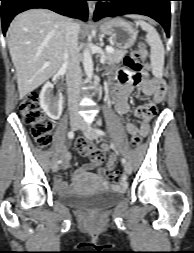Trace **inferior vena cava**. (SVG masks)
<instances>
[{"label":"inferior vena cava","mask_w":194,"mask_h":253,"mask_svg":"<svg viewBox=\"0 0 194 253\" xmlns=\"http://www.w3.org/2000/svg\"><path fill=\"white\" fill-rule=\"evenodd\" d=\"M79 26L72 19L65 23V41L63 51V64L67 69L66 84L68 95V110L71 119H80L78 102L80 97V85L82 74L80 68V56L78 51Z\"/></svg>","instance_id":"obj_1"}]
</instances>
